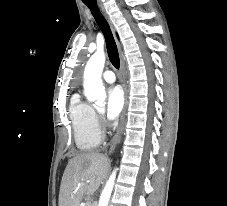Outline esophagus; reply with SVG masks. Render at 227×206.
<instances>
[{"label":"esophagus","instance_id":"34e87169","mask_svg":"<svg viewBox=\"0 0 227 206\" xmlns=\"http://www.w3.org/2000/svg\"><path fill=\"white\" fill-rule=\"evenodd\" d=\"M101 8L103 10L102 6H101ZM118 48H119V53H120V81H121L123 89H124V107H123V110L121 113L119 126H118L117 131L110 144L109 155H111L114 152L117 144L120 142L121 134H122V130L124 127V122H125L126 109H127V87H126L125 73H124L125 63H124V57H123V52H122L121 46L118 45Z\"/></svg>","mask_w":227,"mask_h":206}]
</instances>
